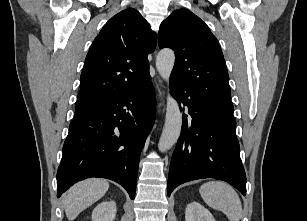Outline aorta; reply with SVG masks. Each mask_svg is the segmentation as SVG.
Wrapping results in <instances>:
<instances>
[{
	"label": "aorta",
	"mask_w": 307,
	"mask_h": 221,
	"mask_svg": "<svg viewBox=\"0 0 307 221\" xmlns=\"http://www.w3.org/2000/svg\"><path fill=\"white\" fill-rule=\"evenodd\" d=\"M175 63V54L171 49H162L156 57V68L160 76L168 83ZM182 127V114L177 101L168 93L164 128L158 143L159 151L169 150L178 140Z\"/></svg>",
	"instance_id": "1"
}]
</instances>
